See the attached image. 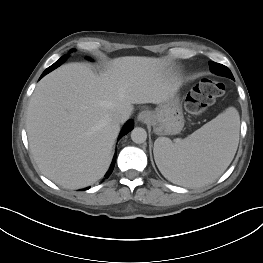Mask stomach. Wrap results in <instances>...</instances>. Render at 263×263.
<instances>
[{"label": "stomach", "mask_w": 263, "mask_h": 263, "mask_svg": "<svg viewBox=\"0 0 263 263\" xmlns=\"http://www.w3.org/2000/svg\"><path fill=\"white\" fill-rule=\"evenodd\" d=\"M150 124L157 135L178 134L184 127V116L177 96L151 112Z\"/></svg>", "instance_id": "1"}]
</instances>
